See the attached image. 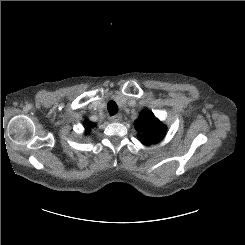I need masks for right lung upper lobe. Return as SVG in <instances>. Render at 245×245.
Listing matches in <instances>:
<instances>
[{"mask_svg": "<svg viewBox=\"0 0 245 245\" xmlns=\"http://www.w3.org/2000/svg\"><path fill=\"white\" fill-rule=\"evenodd\" d=\"M86 133L89 132L90 127H93V124L88 120L85 121Z\"/></svg>", "mask_w": 245, "mask_h": 245, "instance_id": "cb5924a9", "label": "right lung upper lobe"}]
</instances>
